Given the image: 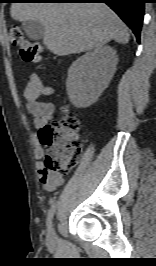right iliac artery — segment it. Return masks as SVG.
Here are the masks:
<instances>
[{"mask_svg":"<svg viewBox=\"0 0 156 266\" xmlns=\"http://www.w3.org/2000/svg\"><path fill=\"white\" fill-rule=\"evenodd\" d=\"M55 210H56V206L55 204L53 203L51 208L49 209L48 211V215H47V228L49 229L50 226H51V222H52V219H53V216H54V213H55Z\"/></svg>","mask_w":156,"mask_h":266,"instance_id":"82829eb1","label":"right iliac artery"}]
</instances>
